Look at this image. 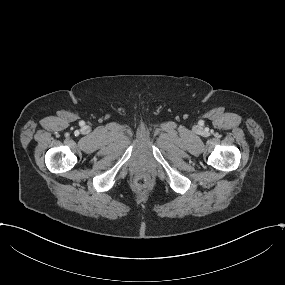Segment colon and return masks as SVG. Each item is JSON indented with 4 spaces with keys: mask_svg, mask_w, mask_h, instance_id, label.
<instances>
[{
    "mask_svg": "<svg viewBox=\"0 0 285 285\" xmlns=\"http://www.w3.org/2000/svg\"><path fill=\"white\" fill-rule=\"evenodd\" d=\"M153 183V178L149 172L141 171L134 179V184L139 189H148Z\"/></svg>",
    "mask_w": 285,
    "mask_h": 285,
    "instance_id": "1",
    "label": "colon"
}]
</instances>
